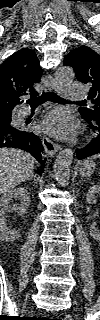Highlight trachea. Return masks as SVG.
Wrapping results in <instances>:
<instances>
[{"mask_svg":"<svg viewBox=\"0 0 100 320\" xmlns=\"http://www.w3.org/2000/svg\"><path fill=\"white\" fill-rule=\"evenodd\" d=\"M47 100L56 102V103H66L68 102L67 100L61 98L54 92H44L40 97L38 98H32L27 100V103L30 104L31 107H35L38 105H41L45 103Z\"/></svg>","mask_w":100,"mask_h":320,"instance_id":"obj_1","label":"trachea"}]
</instances>
